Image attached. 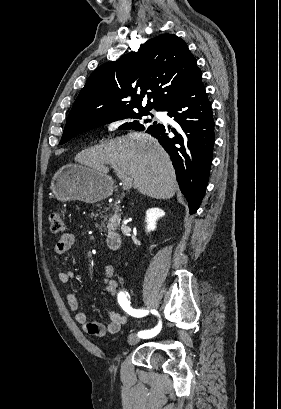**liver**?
<instances>
[{
    "mask_svg": "<svg viewBox=\"0 0 281 409\" xmlns=\"http://www.w3.org/2000/svg\"><path fill=\"white\" fill-rule=\"evenodd\" d=\"M77 162L109 172L106 164L120 168L133 178V186L152 198H172L176 192L175 170L161 144L146 132H128L100 146L86 148L75 156Z\"/></svg>",
    "mask_w": 281,
    "mask_h": 409,
    "instance_id": "6515ba94",
    "label": "liver"
}]
</instances>
